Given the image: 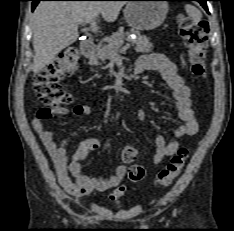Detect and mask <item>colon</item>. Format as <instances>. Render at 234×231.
Wrapping results in <instances>:
<instances>
[{
	"mask_svg": "<svg viewBox=\"0 0 234 231\" xmlns=\"http://www.w3.org/2000/svg\"><path fill=\"white\" fill-rule=\"evenodd\" d=\"M178 27L187 49L190 71L195 78H202L206 72L208 24L205 20L181 16L178 19ZM79 56L76 47H67L52 63L34 77L35 93L43 103L53 107L71 103L72 97L63 89L60 80L76 73ZM188 155L187 148H180L172 156L169 164L156 174V184L159 186L170 185L181 174ZM121 157L126 163H133L138 157V151L133 146H126ZM145 176L146 172L142 165L134 164L129 168L128 177L130 181L140 182L144 180Z\"/></svg>",
	"mask_w": 234,
	"mask_h": 231,
	"instance_id": "1",
	"label": "colon"
}]
</instances>
